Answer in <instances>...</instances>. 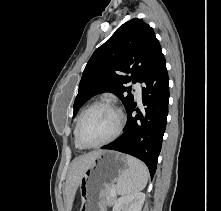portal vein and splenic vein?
Segmentation results:
<instances>
[{"instance_id":"1","label":"portal vein and splenic vein","mask_w":221,"mask_h":211,"mask_svg":"<svg viewBox=\"0 0 221 211\" xmlns=\"http://www.w3.org/2000/svg\"><path fill=\"white\" fill-rule=\"evenodd\" d=\"M111 194L114 196L116 194L115 188L111 190Z\"/></svg>"}]
</instances>
